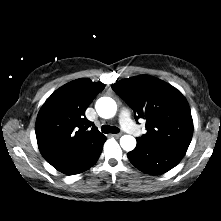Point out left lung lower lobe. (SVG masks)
Returning <instances> with one entry per match:
<instances>
[{
  "mask_svg": "<svg viewBox=\"0 0 221 221\" xmlns=\"http://www.w3.org/2000/svg\"><path fill=\"white\" fill-rule=\"evenodd\" d=\"M186 152L137 143L128 153L130 162L145 174L159 175L175 167Z\"/></svg>",
  "mask_w": 221,
  "mask_h": 221,
  "instance_id": "obj_1",
  "label": "left lung lower lobe"
}]
</instances>
